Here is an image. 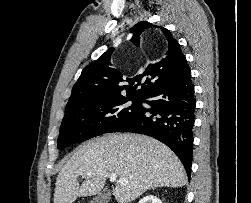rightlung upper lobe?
<instances>
[{"label": "right lung upper lobe", "mask_w": 251, "mask_h": 203, "mask_svg": "<svg viewBox=\"0 0 251 203\" xmlns=\"http://www.w3.org/2000/svg\"><path fill=\"white\" fill-rule=\"evenodd\" d=\"M150 26L146 22H141L132 28L131 41L134 45L139 46L140 34ZM156 27L160 28L168 47L165 57L161 61L149 64L145 70H141L134 77L126 78L116 69L109 67L113 52V49L110 48L100 58L82 70L79 79L73 86L67 105L124 97L143 99L153 88L179 76L188 68L180 45L167 29L160 26ZM139 85L141 87L137 89Z\"/></svg>", "instance_id": "obj_1"}]
</instances>
